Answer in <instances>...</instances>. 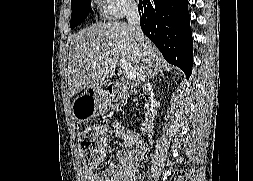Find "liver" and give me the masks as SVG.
I'll return each mask as SVG.
<instances>
[{
    "instance_id": "liver-1",
    "label": "liver",
    "mask_w": 253,
    "mask_h": 181,
    "mask_svg": "<svg viewBox=\"0 0 253 181\" xmlns=\"http://www.w3.org/2000/svg\"><path fill=\"white\" fill-rule=\"evenodd\" d=\"M145 44L148 61L132 27L118 21L96 23L75 34L68 60L70 97L85 88L105 85L113 77L119 58L131 63L140 83L159 73L163 57L151 41L145 39Z\"/></svg>"
}]
</instances>
